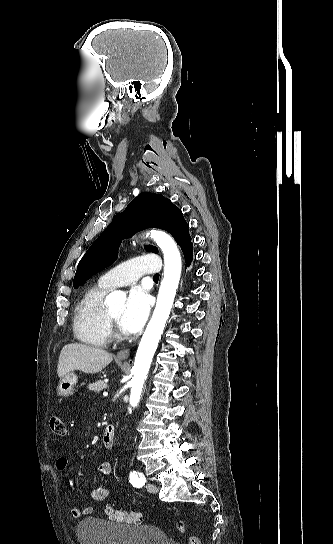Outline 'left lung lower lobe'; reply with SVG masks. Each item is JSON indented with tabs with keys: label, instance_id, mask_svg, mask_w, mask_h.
Segmentation results:
<instances>
[{
	"label": "left lung lower lobe",
	"instance_id": "left-lung-lower-lobe-1",
	"mask_svg": "<svg viewBox=\"0 0 333 544\" xmlns=\"http://www.w3.org/2000/svg\"><path fill=\"white\" fill-rule=\"evenodd\" d=\"M185 256V260H186V265H189L192 261V257H193V253H192V250H189L186 254H184Z\"/></svg>",
	"mask_w": 333,
	"mask_h": 544
}]
</instances>
